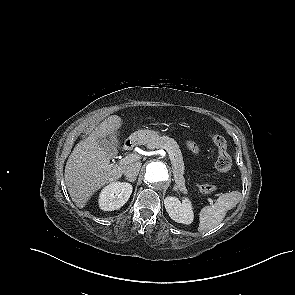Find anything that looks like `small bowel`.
Instances as JSON below:
<instances>
[{
  "mask_svg": "<svg viewBox=\"0 0 295 295\" xmlns=\"http://www.w3.org/2000/svg\"><path fill=\"white\" fill-rule=\"evenodd\" d=\"M187 147H188L189 150H191V151L194 152V153H196V152L198 151L196 145H194V144L191 143V142H189V143L187 144Z\"/></svg>",
  "mask_w": 295,
  "mask_h": 295,
  "instance_id": "c3829d8e",
  "label": "small bowel"
}]
</instances>
